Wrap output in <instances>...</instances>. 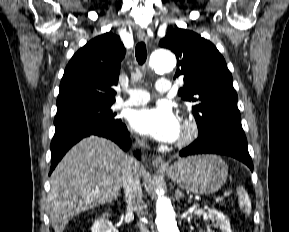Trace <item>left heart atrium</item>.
<instances>
[{
  "label": "left heart atrium",
  "instance_id": "39dd6f15",
  "mask_svg": "<svg viewBox=\"0 0 289 232\" xmlns=\"http://www.w3.org/2000/svg\"><path fill=\"white\" fill-rule=\"evenodd\" d=\"M132 128L162 142H174L180 135V124L166 105L147 106L135 110L130 119Z\"/></svg>",
  "mask_w": 289,
  "mask_h": 232
}]
</instances>
